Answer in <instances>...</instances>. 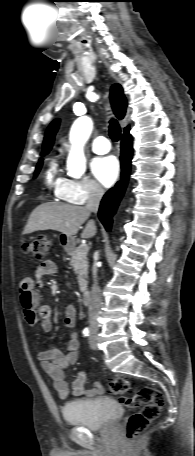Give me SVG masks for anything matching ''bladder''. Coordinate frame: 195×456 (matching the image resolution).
<instances>
[{"instance_id": "bladder-1", "label": "bladder", "mask_w": 195, "mask_h": 456, "mask_svg": "<svg viewBox=\"0 0 195 456\" xmlns=\"http://www.w3.org/2000/svg\"><path fill=\"white\" fill-rule=\"evenodd\" d=\"M64 420L91 430L106 429L123 415L122 406L111 398H93L68 403L62 409Z\"/></svg>"}]
</instances>
